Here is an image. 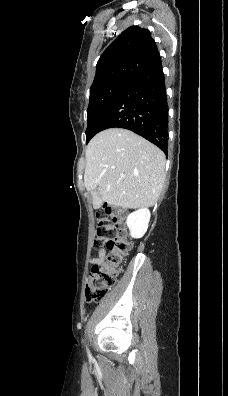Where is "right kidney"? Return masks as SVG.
<instances>
[{
    "mask_svg": "<svg viewBox=\"0 0 228 396\" xmlns=\"http://www.w3.org/2000/svg\"><path fill=\"white\" fill-rule=\"evenodd\" d=\"M150 216L147 208H141L128 215L126 224L133 238H141L146 233Z\"/></svg>",
    "mask_w": 228,
    "mask_h": 396,
    "instance_id": "obj_1",
    "label": "right kidney"
}]
</instances>
